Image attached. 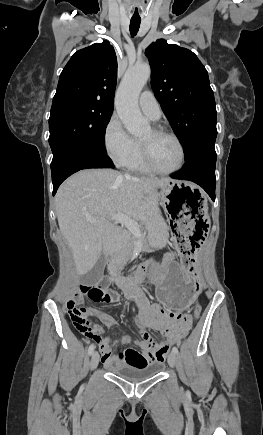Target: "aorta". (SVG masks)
Instances as JSON below:
<instances>
[{"label": "aorta", "instance_id": "762f6f07", "mask_svg": "<svg viewBox=\"0 0 263 435\" xmlns=\"http://www.w3.org/2000/svg\"><path fill=\"white\" fill-rule=\"evenodd\" d=\"M151 69L148 64L129 68L118 88L116 110L126 130L133 136H141L150 130L138 106L139 94L150 78Z\"/></svg>", "mask_w": 263, "mask_h": 435}]
</instances>
